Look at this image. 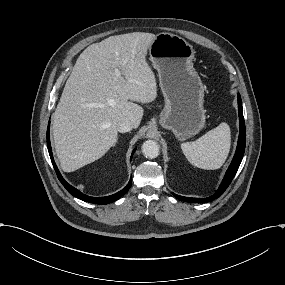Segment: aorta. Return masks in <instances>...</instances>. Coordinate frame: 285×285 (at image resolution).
I'll return each instance as SVG.
<instances>
[{
    "mask_svg": "<svg viewBox=\"0 0 285 285\" xmlns=\"http://www.w3.org/2000/svg\"><path fill=\"white\" fill-rule=\"evenodd\" d=\"M159 145L154 140H147L142 145V153L146 158H156L159 155Z\"/></svg>",
    "mask_w": 285,
    "mask_h": 285,
    "instance_id": "1",
    "label": "aorta"
}]
</instances>
